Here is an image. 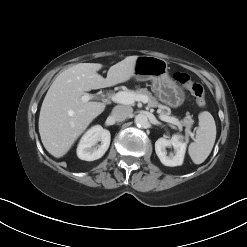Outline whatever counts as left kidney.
Masks as SVG:
<instances>
[{
	"instance_id": "left-kidney-1",
	"label": "left kidney",
	"mask_w": 247,
	"mask_h": 247,
	"mask_svg": "<svg viewBox=\"0 0 247 247\" xmlns=\"http://www.w3.org/2000/svg\"><path fill=\"white\" fill-rule=\"evenodd\" d=\"M186 143L187 140L181 135H174L171 139L162 137L155 142V151L163 165L170 167L179 166L182 165L184 160ZM167 147H173L175 153L167 155Z\"/></svg>"
}]
</instances>
